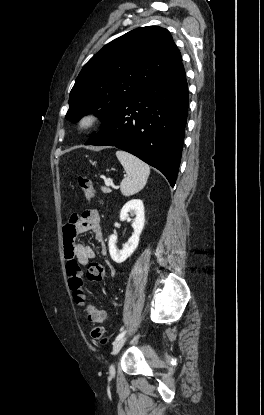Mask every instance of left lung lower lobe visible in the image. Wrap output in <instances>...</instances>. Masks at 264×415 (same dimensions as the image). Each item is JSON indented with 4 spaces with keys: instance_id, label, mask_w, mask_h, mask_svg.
Instances as JSON below:
<instances>
[{
    "instance_id": "obj_1",
    "label": "left lung lower lobe",
    "mask_w": 264,
    "mask_h": 415,
    "mask_svg": "<svg viewBox=\"0 0 264 415\" xmlns=\"http://www.w3.org/2000/svg\"><path fill=\"white\" fill-rule=\"evenodd\" d=\"M188 111L182 62L128 99L85 145L115 146L157 168L176 182Z\"/></svg>"
}]
</instances>
